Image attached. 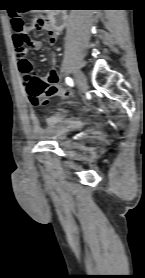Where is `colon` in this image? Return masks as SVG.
<instances>
[{"label":"colon","instance_id":"1","mask_svg":"<svg viewBox=\"0 0 145 278\" xmlns=\"http://www.w3.org/2000/svg\"><path fill=\"white\" fill-rule=\"evenodd\" d=\"M11 24L14 31V38L16 40L17 44H23L27 45L30 43V38L27 36L25 31V25L23 21L18 16H12L11 17ZM47 26V23L45 20L38 19L35 21V27L37 29H43ZM16 46V56L18 57H24L27 53L26 49H17ZM31 100L36 105L38 103L37 94L31 93Z\"/></svg>","mask_w":145,"mask_h":278}]
</instances>
